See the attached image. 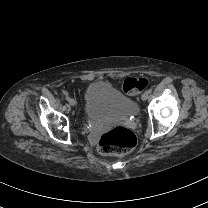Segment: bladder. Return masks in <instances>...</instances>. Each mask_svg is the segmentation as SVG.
Returning a JSON list of instances; mask_svg holds the SVG:
<instances>
[{"mask_svg":"<svg viewBox=\"0 0 208 208\" xmlns=\"http://www.w3.org/2000/svg\"><path fill=\"white\" fill-rule=\"evenodd\" d=\"M84 112L90 117L126 118L138 104L105 82H92L84 91Z\"/></svg>","mask_w":208,"mask_h":208,"instance_id":"31cf9c89","label":"bladder"}]
</instances>
